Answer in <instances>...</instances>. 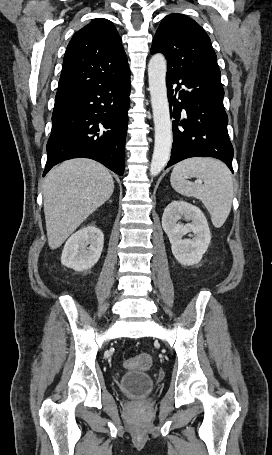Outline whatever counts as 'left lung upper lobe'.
<instances>
[{"mask_svg": "<svg viewBox=\"0 0 272 455\" xmlns=\"http://www.w3.org/2000/svg\"><path fill=\"white\" fill-rule=\"evenodd\" d=\"M157 52L167 59V73L192 71L220 77L210 38L198 23L185 15L174 13L162 20L151 48L152 54Z\"/></svg>", "mask_w": 272, "mask_h": 455, "instance_id": "obj_1", "label": "left lung upper lobe"}]
</instances>
